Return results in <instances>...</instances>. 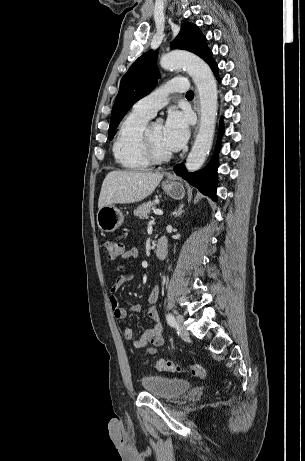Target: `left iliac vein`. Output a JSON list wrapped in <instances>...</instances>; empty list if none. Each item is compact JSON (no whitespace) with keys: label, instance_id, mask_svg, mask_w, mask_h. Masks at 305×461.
I'll use <instances>...</instances> for the list:
<instances>
[{"label":"left iliac vein","instance_id":"1","mask_svg":"<svg viewBox=\"0 0 305 461\" xmlns=\"http://www.w3.org/2000/svg\"><path fill=\"white\" fill-rule=\"evenodd\" d=\"M176 321L178 323V334L180 335V337L182 338H186L189 336V332L187 331V329L185 328L184 326V318L183 316L181 315H178L176 317Z\"/></svg>","mask_w":305,"mask_h":461}]
</instances>
